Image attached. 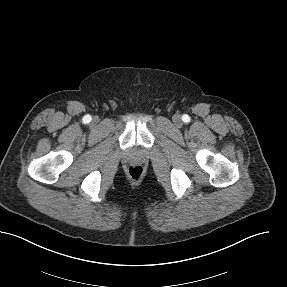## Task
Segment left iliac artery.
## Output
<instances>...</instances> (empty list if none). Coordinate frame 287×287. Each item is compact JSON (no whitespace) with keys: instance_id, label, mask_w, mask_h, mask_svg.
Returning a JSON list of instances; mask_svg holds the SVG:
<instances>
[{"instance_id":"1","label":"left iliac artery","mask_w":287,"mask_h":287,"mask_svg":"<svg viewBox=\"0 0 287 287\" xmlns=\"http://www.w3.org/2000/svg\"><path fill=\"white\" fill-rule=\"evenodd\" d=\"M182 120L187 123V122L190 121V117L185 114V115L182 116Z\"/></svg>"}]
</instances>
